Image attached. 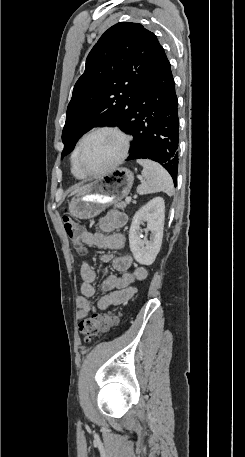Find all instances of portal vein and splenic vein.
<instances>
[{
	"label": "portal vein and splenic vein",
	"mask_w": 245,
	"mask_h": 457,
	"mask_svg": "<svg viewBox=\"0 0 245 457\" xmlns=\"http://www.w3.org/2000/svg\"><path fill=\"white\" fill-rule=\"evenodd\" d=\"M126 202H130V200H132L131 196H126L125 198Z\"/></svg>",
	"instance_id": "18ae733b"
}]
</instances>
